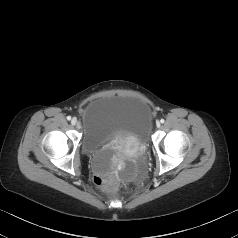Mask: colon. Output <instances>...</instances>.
<instances>
[{"mask_svg":"<svg viewBox=\"0 0 238 238\" xmlns=\"http://www.w3.org/2000/svg\"><path fill=\"white\" fill-rule=\"evenodd\" d=\"M94 182L107 192H115L120 187L119 181L114 177L96 175L94 177Z\"/></svg>","mask_w":238,"mask_h":238,"instance_id":"1","label":"colon"}]
</instances>
